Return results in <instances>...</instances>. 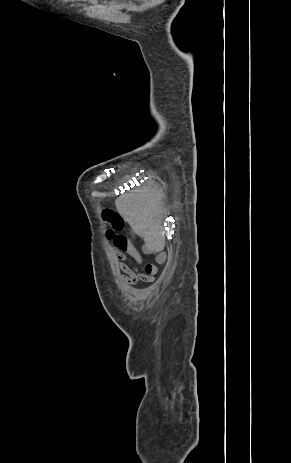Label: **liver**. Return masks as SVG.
Returning <instances> with one entry per match:
<instances>
[{
	"instance_id": "1",
	"label": "liver",
	"mask_w": 291,
	"mask_h": 463,
	"mask_svg": "<svg viewBox=\"0 0 291 463\" xmlns=\"http://www.w3.org/2000/svg\"><path fill=\"white\" fill-rule=\"evenodd\" d=\"M159 202L160 195L152 187L126 193L115 201L119 214L144 239L145 248L152 253L161 252L165 246Z\"/></svg>"
}]
</instances>
